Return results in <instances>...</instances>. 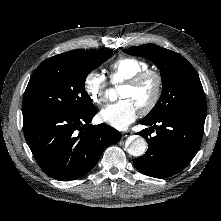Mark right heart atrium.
Wrapping results in <instances>:
<instances>
[{"mask_svg":"<svg viewBox=\"0 0 221 221\" xmlns=\"http://www.w3.org/2000/svg\"><path fill=\"white\" fill-rule=\"evenodd\" d=\"M108 83L103 73L92 70L86 74L83 80V90L93 103H101L104 100Z\"/></svg>","mask_w":221,"mask_h":221,"instance_id":"obj_1","label":"right heart atrium"}]
</instances>
